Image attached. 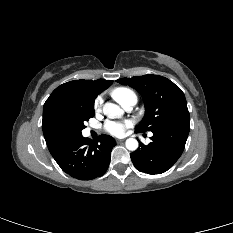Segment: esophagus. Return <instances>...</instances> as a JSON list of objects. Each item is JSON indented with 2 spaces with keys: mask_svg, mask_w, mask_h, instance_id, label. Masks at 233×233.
<instances>
[{
  "mask_svg": "<svg viewBox=\"0 0 233 233\" xmlns=\"http://www.w3.org/2000/svg\"><path fill=\"white\" fill-rule=\"evenodd\" d=\"M116 141H117V143H122L123 142V140H121V139H117Z\"/></svg>",
  "mask_w": 233,
  "mask_h": 233,
  "instance_id": "1",
  "label": "esophagus"
}]
</instances>
